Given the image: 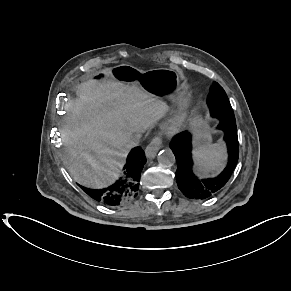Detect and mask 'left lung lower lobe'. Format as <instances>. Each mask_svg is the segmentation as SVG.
I'll use <instances>...</instances> for the list:
<instances>
[{"label": "left lung lower lobe", "mask_w": 291, "mask_h": 291, "mask_svg": "<svg viewBox=\"0 0 291 291\" xmlns=\"http://www.w3.org/2000/svg\"><path fill=\"white\" fill-rule=\"evenodd\" d=\"M227 111L218 115V129L224 132V141L228 150L226 168L215 178L200 179L193 173L191 134L183 132L171 142L177 162L176 181L179 190L190 199H207L218 193L230 179L238 161L239 146L236 121L226 120Z\"/></svg>", "instance_id": "0a47b994"}]
</instances>
